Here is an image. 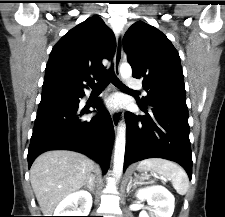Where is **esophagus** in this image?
<instances>
[{
    "instance_id": "obj_1",
    "label": "esophagus",
    "mask_w": 225,
    "mask_h": 217,
    "mask_svg": "<svg viewBox=\"0 0 225 217\" xmlns=\"http://www.w3.org/2000/svg\"><path fill=\"white\" fill-rule=\"evenodd\" d=\"M122 40H123V33L120 32L117 35L116 52L114 57V71L117 76L120 75V64L122 61V53H123ZM111 118H112V122H113V126L115 130H117L120 123L121 114L119 112H113L111 114Z\"/></svg>"
}]
</instances>
